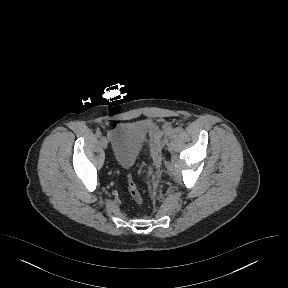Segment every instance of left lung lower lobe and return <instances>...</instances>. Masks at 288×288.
Wrapping results in <instances>:
<instances>
[{
  "label": "left lung lower lobe",
  "instance_id": "1",
  "mask_svg": "<svg viewBox=\"0 0 288 288\" xmlns=\"http://www.w3.org/2000/svg\"><path fill=\"white\" fill-rule=\"evenodd\" d=\"M250 225L247 227L248 232L252 234L260 233L265 221V203L262 199H258L254 206L247 214Z\"/></svg>",
  "mask_w": 288,
  "mask_h": 288
}]
</instances>
